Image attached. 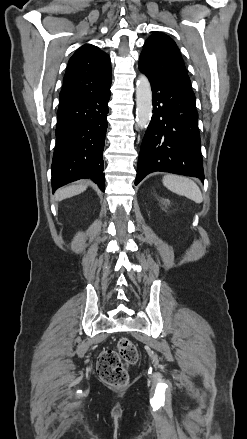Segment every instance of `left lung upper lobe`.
<instances>
[{
  "instance_id": "1",
  "label": "left lung upper lobe",
  "mask_w": 247,
  "mask_h": 439,
  "mask_svg": "<svg viewBox=\"0 0 247 439\" xmlns=\"http://www.w3.org/2000/svg\"><path fill=\"white\" fill-rule=\"evenodd\" d=\"M139 65L150 74L195 96L180 51L168 35L155 32L145 41Z\"/></svg>"
}]
</instances>
